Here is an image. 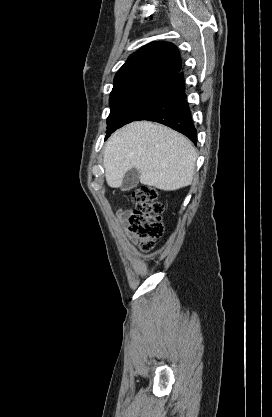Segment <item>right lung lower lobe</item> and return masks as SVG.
Listing matches in <instances>:
<instances>
[{
  "mask_svg": "<svg viewBox=\"0 0 272 417\" xmlns=\"http://www.w3.org/2000/svg\"><path fill=\"white\" fill-rule=\"evenodd\" d=\"M134 120H150L169 126L196 144L197 132L186 102L183 73L176 74Z\"/></svg>",
  "mask_w": 272,
  "mask_h": 417,
  "instance_id": "right-lung-lower-lobe-1",
  "label": "right lung lower lobe"
}]
</instances>
